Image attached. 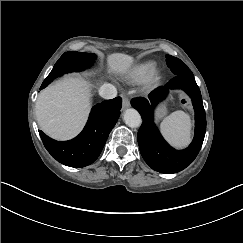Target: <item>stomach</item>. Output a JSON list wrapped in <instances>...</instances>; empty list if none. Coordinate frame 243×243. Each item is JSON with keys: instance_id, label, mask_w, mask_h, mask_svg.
I'll use <instances>...</instances> for the list:
<instances>
[{"instance_id": "stomach-1", "label": "stomach", "mask_w": 243, "mask_h": 243, "mask_svg": "<svg viewBox=\"0 0 243 243\" xmlns=\"http://www.w3.org/2000/svg\"><path fill=\"white\" fill-rule=\"evenodd\" d=\"M166 113H167V108H166V106L164 104L160 105L157 108L156 114H157V118L158 119L163 118L166 115Z\"/></svg>"}]
</instances>
